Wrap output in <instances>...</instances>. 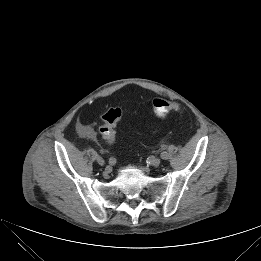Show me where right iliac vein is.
I'll use <instances>...</instances> for the list:
<instances>
[{"label": "right iliac vein", "mask_w": 261, "mask_h": 261, "mask_svg": "<svg viewBox=\"0 0 261 261\" xmlns=\"http://www.w3.org/2000/svg\"><path fill=\"white\" fill-rule=\"evenodd\" d=\"M96 161H97V163L100 165V166H104L105 165V161H104V159L102 158V157H97L96 158Z\"/></svg>", "instance_id": "right-iliac-vein-1"}]
</instances>
